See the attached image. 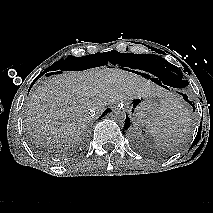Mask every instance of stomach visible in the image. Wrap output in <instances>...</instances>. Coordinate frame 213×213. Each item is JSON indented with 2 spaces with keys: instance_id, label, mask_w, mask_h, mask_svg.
Instances as JSON below:
<instances>
[{
  "instance_id": "obj_1",
  "label": "stomach",
  "mask_w": 213,
  "mask_h": 213,
  "mask_svg": "<svg viewBox=\"0 0 213 213\" xmlns=\"http://www.w3.org/2000/svg\"><path fill=\"white\" fill-rule=\"evenodd\" d=\"M164 109L165 104L155 97L135 98L129 103L130 114L137 126L154 124L157 115Z\"/></svg>"
}]
</instances>
